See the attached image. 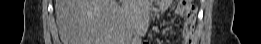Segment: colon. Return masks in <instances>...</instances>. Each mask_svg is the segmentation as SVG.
Listing matches in <instances>:
<instances>
[{
    "mask_svg": "<svg viewBox=\"0 0 261 44\" xmlns=\"http://www.w3.org/2000/svg\"><path fill=\"white\" fill-rule=\"evenodd\" d=\"M179 7L185 8V6H191L192 2L191 1H179L178 2Z\"/></svg>",
    "mask_w": 261,
    "mask_h": 44,
    "instance_id": "colon-1",
    "label": "colon"
}]
</instances>
